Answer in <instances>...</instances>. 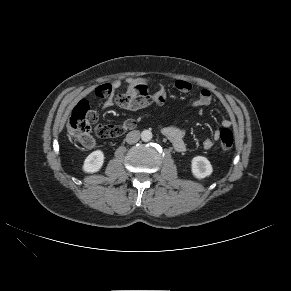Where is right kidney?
<instances>
[{"instance_id":"right-kidney-1","label":"right kidney","mask_w":291,"mask_h":291,"mask_svg":"<svg viewBox=\"0 0 291 291\" xmlns=\"http://www.w3.org/2000/svg\"><path fill=\"white\" fill-rule=\"evenodd\" d=\"M104 163V154L101 150H96L89 154L83 164V171L86 173L98 172Z\"/></svg>"}]
</instances>
